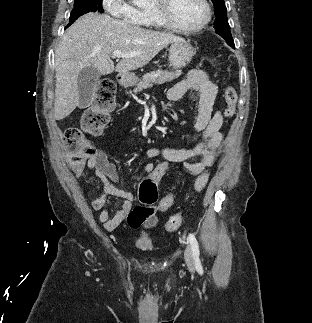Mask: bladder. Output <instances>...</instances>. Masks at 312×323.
Wrapping results in <instances>:
<instances>
[{
  "label": "bladder",
  "mask_w": 312,
  "mask_h": 323,
  "mask_svg": "<svg viewBox=\"0 0 312 323\" xmlns=\"http://www.w3.org/2000/svg\"><path fill=\"white\" fill-rule=\"evenodd\" d=\"M152 245L150 235L139 236L137 239V246L139 248H149Z\"/></svg>",
  "instance_id": "bladder-1"
}]
</instances>
